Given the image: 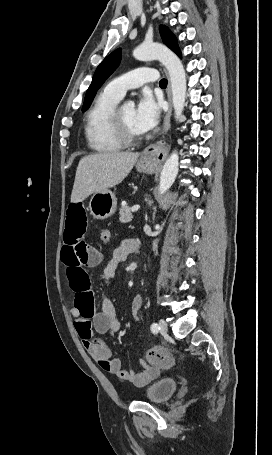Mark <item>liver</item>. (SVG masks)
I'll return each instance as SVG.
<instances>
[{"mask_svg": "<svg viewBox=\"0 0 272 455\" xmlns=\"http://www.w3.org/2000/svg\"><path fill=\"white\" fill-rule=\"evenodd\" d=\"M139 153H98L83 157L78 164L71 202L79 203L94 193L121 183L135 165Z\"/></svg>", "mask_w": 272, "mask_h": 455, "instance_id": "liver-1", "label": "liver"}]
</instances>
